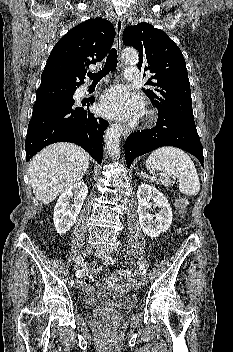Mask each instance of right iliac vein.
Instances as JSON below:
<instances>
[{
	"label": "right iliac vein",
	"instance_id": "obj_1",
	"mask_svg": "<svg viewBox=\"0 0 233 352\" xmlns=\"http://www.w3.org/2000/svg\"><path fill=\"white\" fill-rule=\"evenodd\" d=\"M92 250H93L92 245H87L86 247H84L82 253H83L84 256H87V255H89V254L92 252ZM74 287H75V288H79V287H80V282L77 281V282L75 283V286H74Z\"/></svg>",
	"mask_w": 233,
	"mask_h": 352
}]
</instances>
